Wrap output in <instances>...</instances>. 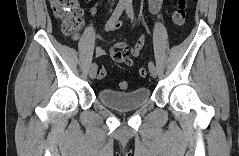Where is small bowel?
Returning <instances> with one entry per match:
<instances>
[{
  "label": "small bowel",
  "instance_id": "1",
  "mask_svg": "<svg viewBox=\"0 0 239 156\" xmlns=\"http://www.w3.org/2000/svg\"><path fill=\"white\" fill-rule=\"evenodd\" d=\"M148 8L150 12L157 18L161 16L162 13V1L161 0H151L148 3ZM115 30H119L121 28V23L116 22L113 26ZM145 45V37L141 36L133 45L129 46L127 43L123 41H116L110 51L109 56L114 61L124 64L126 66H133L134 59L141 55L142 49ZM97 56L105 55V51L102 49H97Z\"/></svg>",
  "mask_w": 239,
  "mask_h": 156
}]
</instances>
